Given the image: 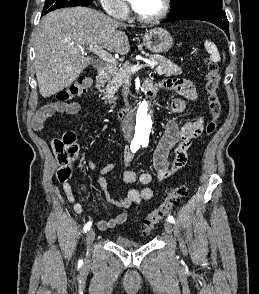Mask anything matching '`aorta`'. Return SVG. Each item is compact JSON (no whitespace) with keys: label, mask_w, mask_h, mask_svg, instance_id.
<instances>
[{"label":"aorta","mask_w":259,"mask_h":294,"mask_svg":"<svg viewBox=\"0 0 259 294\" xmlns=\"http://www.w3.org/2000/svg\"><path fill=\"white\" fill-rule=\"evenodd\" d=\"M153 112L151 104L144 101L133 110L125 123V130L131 138L149 141L152 136Z\"/></svg>","instance_id":"1"}]
</instances>
